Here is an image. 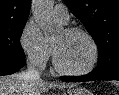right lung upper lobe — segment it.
<instances>
[{
  "mask_svg": "<svg viewBox=\"0 0 119 95\" xmlns=\"http://www.w3.org/2000/svg\"><path fill=\"white\" fill-rule=\"evenodd\" d=\"M31 0H0V26L27 21Z\"/></svg>",
  "mask_w": 119,
  "mask_h": 95,
  "instance_id": "right-lung-upper-lobe-1",
  "label": "right lung upper lobe"
}]
</instances>
